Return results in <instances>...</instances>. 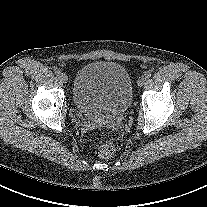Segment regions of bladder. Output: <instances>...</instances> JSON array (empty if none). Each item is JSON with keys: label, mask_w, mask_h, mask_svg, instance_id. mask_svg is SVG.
<instances>
[{"label": "bladder", "mask_w": 207, "mask_h": 207, "mask_svg": "<svg viewBox=\"0 0 207 207\" xmlns=\"http://www.w3.org/2000/svg\"><path fill=\"white\" fill-rule=\"evenodd\" d=\"M133 95L128 71L108 61L90 62L75 76L72 98L76 109L93 119L119 116L129 108Z\"/></svg>", "instance_id": "bladder-1"}]
</instances>
